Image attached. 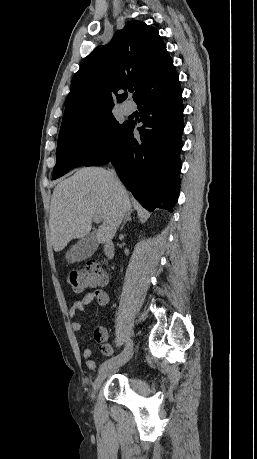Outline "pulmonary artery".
Here are the masks:
<instances>
[{"mask_svg": "<svg viewBox=\"0 0 257 459\" xmlns=\"http://www.w3.org/2000/svg\"><path fill=\"white\" fill-rule=\"evenodd\" d=\"M134 109H135V105L131 101H126L122 104V111L126 115L132 114Z\"/></svg>", "mask_w": 257, "mask_h": 459, "instance_id": "1", "label": "pulmonary artery"}]
</instances>
